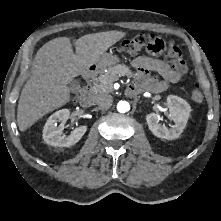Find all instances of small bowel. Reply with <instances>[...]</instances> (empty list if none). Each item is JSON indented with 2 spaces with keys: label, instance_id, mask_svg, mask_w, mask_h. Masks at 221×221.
Segmentation results:
<instances>
[{
  "label": "small bowel",
  "instance_id": "1",
  "mask_svg": "<svg viewBox=\"0 0 221 221\" xmlns=\"http://www.w3.org/2000/svg\"><path fill=\"white\" fill-rule=\"evenodd\" d=\"M151 53L155 54V52ZM132 65L138 72V80L131 88L133 92L142 89L160 92L170 83L178 82L182 77L179 72L171 68L165 61L154 57H137L133 60ZM151 72H154L157 76L153 77Z\"/></svg>",
  "mask_w": 221,
  "mask_h": 221
}]
</instances>
